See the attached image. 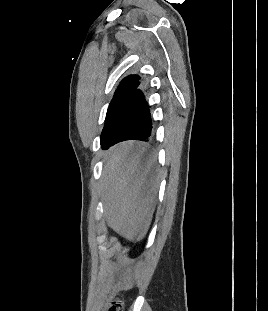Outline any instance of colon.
Wrapping results in <instances>:
<instances>
[{
	"label": "colon",
	"instance_id": "obj_1",
	"mask_svg": "<svg viewBox=\"0 0 268 311\" xmlns=\"http://www.w3.org/2000/svg\"><path fill=\"white\" fill-rule=\"evenodd\" d=\"M106 311H123V302L120 298L114 297L110 300Z\"/></svg>",
	"mask_w": 268,
	"mask_h": 311
}]
</instances>
